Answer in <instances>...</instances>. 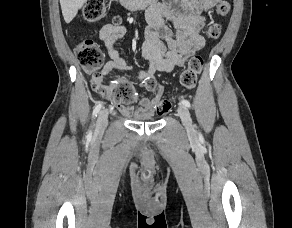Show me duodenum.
Masks as SVG:
<instances>
[{
  "mask_svg": "<svg viewBox=\"0 0 292 228\" xmlns=\"http://www.w3.org/2000/svg\"><path fill=\"white\" fill-rule=\"evenodd\" d=\"M122 7L126 10H135L152 7L157 0H119Z\"/></svg>",
  "mask_w": 292,
  "mask_h": 228,
  "instance_id": "1",
  "label": "duodenum"
}]
</instances>
